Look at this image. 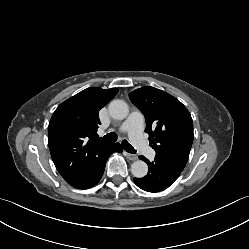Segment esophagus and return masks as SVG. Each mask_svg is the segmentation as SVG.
Listing matches in <instances>:
<instances>
[{
	"label": "esophagus",
	"mask_w": 249,
	"mask_h": 249,
	"mask_svg": "<svg viewBox=\"0 0 249 249\" xmlns=\"http://www.w3.org/2000/svg\"><path fill=\"white\" fill-rule=\"evenodd\" d=\"M124 155L129 159V160H137L138 159V156L135 155V154H131V153H128V152H124Z\"/></svg>",
	"instance_id": "obj_1"
}]
</instances>
